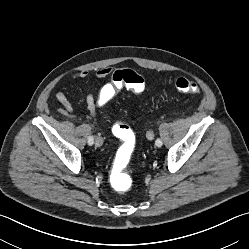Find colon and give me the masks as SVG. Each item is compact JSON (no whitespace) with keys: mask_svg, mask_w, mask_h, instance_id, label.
<instances>
[{"mask_svg":"<svg viewBox=\"0 0 249 249\" xmlns=\"http://www.w3.org/2000/svg\"><path fill=\"white\" fill-rule=\"evenodd\" d=\"M111 83L115 90L126 87L136 94L143 92L145 89V80L130 69L114 71L111 76ZM175 88L178 92L184 94H195L199 91L197 83L186 78H178L175 82ZM113 133L122 140L123 144L116 156L117 167L112 175L111 186L116 192H125L128 190V176L125 173V168L135 149V135L133 130L125 123L116 124L113 127Z\"/></svg>","mask_w":249,"mask_h":249,"instance_id":"colon-1","label":"colon"}]
</instances>
